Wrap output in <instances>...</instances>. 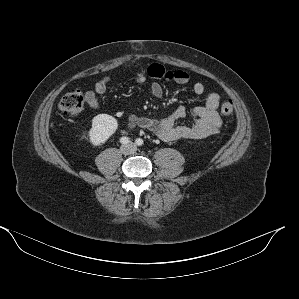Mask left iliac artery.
Returning <instances> with one entry per match:
<instances>
[{"label": "left iliac artery", "mask_w": 299, "mask_h": 299, "mask_svg": "<svg viewBox=\"0 0 299 299\" xmlns=\"http://www.w3.org/2000/svg\"><path fill=\"white\" fill-rule=\"evenodd\" d=\"M135 143H136L137 146H142L144 142H143V140L141 138H137L135 140Z\"/></svg>", "instance_id": "left-iliac-artery-1"}]
</instances>
